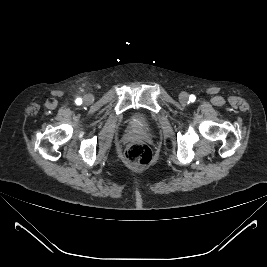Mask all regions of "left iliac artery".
Instances as JSON below:
<instances>
[{"instance_id": "left-iliac-artery-1", "label": "left iliac artery", "mask_w": 267, "mask_h": 267, "mask_svg": "<svg viewBox=\"0 0 267 267\" xmlns=\"http://www.w3.org/2000/svg\"><path fill=\"white\" fill-rule=\"evenodd\" d=\"M195 99H196V97H195L194 95H190L189 100H190L191 102H194Z\"/></svg>"}]
</instances>
